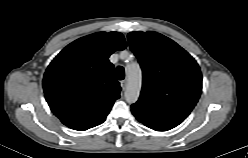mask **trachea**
<instances>
[{
  "label": "trachea",
  "instance_id": "trachea-1",
  "mask_svg": "<svg viewBox=\"0 0 248 158\" xmlns=\"http://www.w3.org/2000/svg\"><path fill=\"white\" fill-rule=\"evenodd\" d=\"M116 77L118 80H123L125 77V72H124V68L122 66H118L116 68Z\"/></svg>",
  "mask_w": 248,
  "mask_h": 158
}]
</instances>
